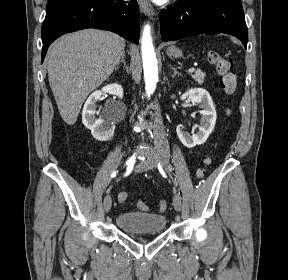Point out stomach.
<instances>
[{"instance_id":"0dacf381","label":"stomach","mask_w":288,"mask_h":280,"mask_svg":"<svg viewBox=\"0 0 288 280\" xmlns=\"http://www.w3.org/2000/svg\"><path fill=\"white\" fill-rule=\"evenodd\" d=\"M167 54L169 56H173L175 58L181 57L182 56V51L174 46H171L167 49Z\"/></svg>"}]
</instances>
